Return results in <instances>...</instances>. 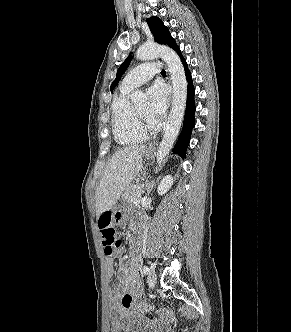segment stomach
<instances>
[{"mask_svg":"<svg viewBox=\"0 0 291 332\" xmlns=\"http://www.w3.org/2000/svg\"><path fill=\"white\" fill-rule=\"evenodd\" d=\"M153 149L152 148H147L145 151V156L147 158H150L153 155ZM123 214V207L120 205L115 206L114 212H113V219L116 224H119L122 218Z\"/></svg>","mask_w":291,"mask_h":332,"instance_id":"0dacf381","label":"stomach"}]
</instances>
